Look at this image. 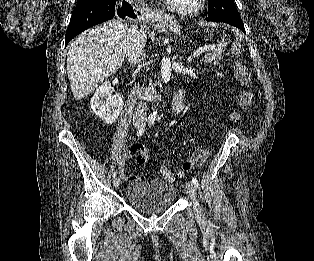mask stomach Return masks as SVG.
Listing matches in <instances>:
<instances>
[{"label": "stomach", "mask_w": 314, "mask_h": 261, "mask_svg": "<svg viewBox=\"0 0 314 261\" xmlns=\"http://www.w3.org/2000/svg\"><path fill=\"white\" fill-rule=\"evenodd\" d=\"M173 30L178 32V27H174Z\"/></svg>", "instance_id": "stomach-1"}]
</instances>
